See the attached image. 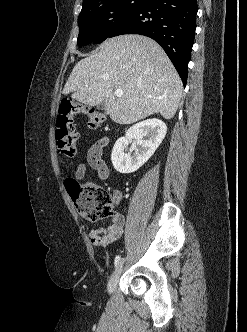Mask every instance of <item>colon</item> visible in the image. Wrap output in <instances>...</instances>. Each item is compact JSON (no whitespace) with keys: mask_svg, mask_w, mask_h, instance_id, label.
Returning <instances> with one entry per match:
<instances>
[{"mask_svg":"<svg viewBox=\"0 0 247 332\" xmlns=\"http://www.w3.org/2000/svg\"><path fill=\"white\" fill-rule=\"evenodd\" d=\"M77 113L86 116L87 126L92 130L98 129L104 121L103 114L95 108L63 101L56 116L55 139L59 152L66 156H74L77 151L78 135L72 120ZM65 186L84 218L97 221L113 216L112 195L100 185L93 182L82 185L76 179L68 178Z\"/></svg>","mask_w":247,"mask_h":332,"instance_id":"colon-1","label":"colon"}]
</instances>
